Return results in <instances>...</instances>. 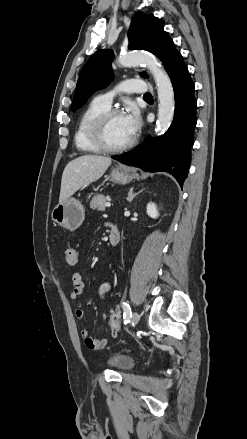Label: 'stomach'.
<instances>
[{
    "label": "stomach",
    "instance_id": "1",
    "mask_svg": "<svg viewBox=\"0 0 247 439\" xmlns=\"http://www.w3.org/2000/svg\"><path fill=\"white\" fill-rule=\"evenodd\" d=\"M135 178L137 174L126 168H115L110 173V180L114 183L127 184ZM51 217L58 225L74 231L84 221L85 210L80 201L68 198L54 207Z\"/></svg>",
    "mask_w": 247,
    "mask_h": 439
}]
</instances>
